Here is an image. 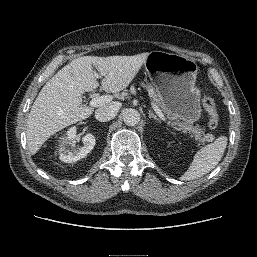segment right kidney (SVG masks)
<instances>
[{"instance_id": "obj_1", "label": "right kidney", "mask_w": 257, "mask_h": 257, "mask_svg": "<svg viewBox=\"0 0 257 257\" xmlns=\"http://www.w3.org/2000/svg\"><path fill=\"white\" fill-rule=\"evenodd\" d=\"M79 140L76 134V127L68 129L66 134L60 138L59 159L65 163L76 162L84 158L95 146L96 140L91 133H87L82 137V147L74 146Z\"/></svg>"}]
</instances>
